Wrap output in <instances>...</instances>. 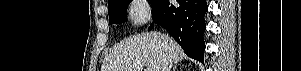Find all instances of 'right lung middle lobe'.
<instances>
[{"label":"right lung middle lobe","instance_id":"obj_1","mask_svg":"<svg viewBox=\"0 0 301 71\" xmlns=\"http://www.w3.org/2000/svg\"><path fill=\"white\" fill-rule=\"evenodd\" d=\"M132 0H111L108 2V14H109V23L120 24L125 22V13L128 4ZM152 7L156 3V0H150Z\"/></svg>","mask_w":301,"mask_h":71}]
</instances>
